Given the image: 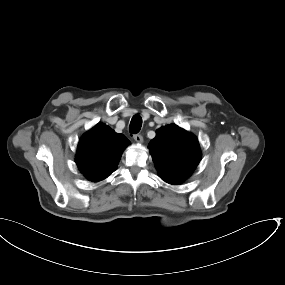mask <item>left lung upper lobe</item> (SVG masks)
Instances as JSON below:
<instances>
[{
  "instance_id": "5c2ea615",
  "label": "left lung upper lobe",
  "mask_w": 285,
  "mask_h": 285,
  "mask_svg": "<svg viewBox=\"0 0 285 285\" xmlns=\"http://www.w3.org/2000/svg\"><path fill=\"white\" fill-rule=\"evenodd\" d=\"M148 148L160 177L169 184H181L201 159L197 138L175 124L159 128Z\"/></svg>"
}]
</instances>
